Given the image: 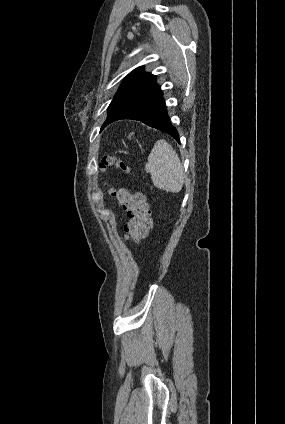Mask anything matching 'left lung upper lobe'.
I'll return each instance as SVG.
<instances>
[{"label": "left lung upper lobe", "instance_id": "left-lung-upper-lobe-1", "mask_svg": "<svg viewBox=\"0 0 285 424\" xmlns=\"http://www.w3.org/2000/svg\"><path fill=\"white\" fill-rule=\"evenodd\" d=\"M155 80L156 76L152 75L151 73H145L143 67L134 69L125 77L122 85L115 94L112 102L108 107V115L119 103H121L127 97L146 87Z\"/></svg>", "mask_w": 285, "mask_h": 424}]
</instances>
